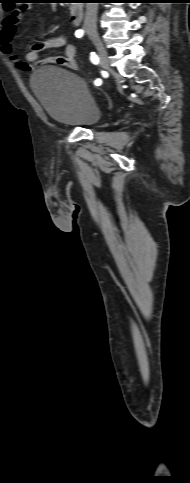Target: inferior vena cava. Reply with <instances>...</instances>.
Listing matches in <instances>:
<instances>
[{
    "mask_svg": "<svg viewBox=\"0 0 190 483\" xmlns=\"http://www.w3.org/2000/svg\"><path fill=\"white\" fill-rule=\"evenodd\" d=\"M98 3H87L84 28L96 29Z\"/></svg>",
    "mask_w": 190,
    "mask_h": 483,
    "instance_id": "obj_1",
    "label": "inferior vena cava"
}]
</instances>
